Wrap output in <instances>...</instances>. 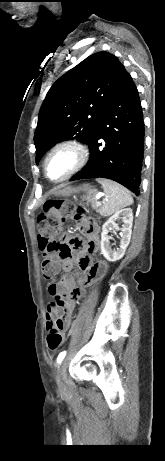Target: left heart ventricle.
Segmentation results:
<instances>
[{"mask_svg":"<svg viewBox=\"0 0 165 461\" xmlns=\"http://www.w3.org/2000/svg\"><path fill=\"white\" fill-rule=\"evenodd\" d=\"M73 161L72 154L67 151H61L54 154L48 162V174L52 179L62 176Z\"/></svg>","mask_w":165,"mask_h":461,"instance_id":"1","label":"left heart ventricle"}]
</instances>
